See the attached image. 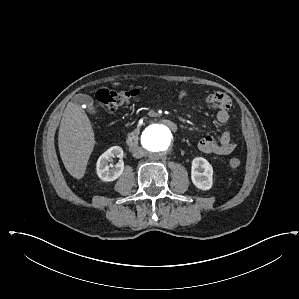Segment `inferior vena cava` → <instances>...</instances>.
<instances>
[{
  "instance_id": "1",
  "label": "inferior vena cava",
  "mask_w": 299,
  "mask_h": 299,
  "mask_svg": "<svg viewBox=\"0 0 299 299\" xmlns=\"http://www.w3.org/2000/svg\"><path fill=\"white\" fill-rule=\"evenodd\" d=\"M132 155L135 158H141L145 155V151L142 147L135 146L132 148Z\"/></svg>"
}]
</instances>
